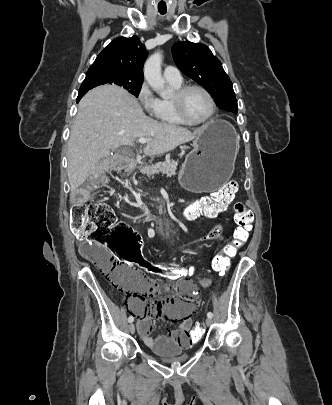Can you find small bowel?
Returning a JSON list of instances; mask_svg holds the SVG:
<instances>
[{"mask_svg": "<svg viewBox=\"0 0 332 405\" xmlns=\"http://www.w3.org/2000/svg\"><path fill=\"white\" fill-rule=\"evenodd\" d=\"M99 178V172H86L83 184L97 186ZM187 212H190L194 218L197 217V213L189 210ZM145 271L148 272V270ZM199 284L205 288L211 284V280L201 278ZM172 288L166 289V297L159 300L162 287L157 282L147 279L133 267H122L121 289L132 295L127 304L130 312L138 318L137 328L145 345L157 350L158 353H189L190 340L187 334L193 327L190 315L193 311H197L201 299L196 297L195 284L187 280L186 276L184 282H175ZM156 317H166L180 322L177 328L168 329V335L153 338L150 332L154 328Z\"/></svg>", "mask_w": 332, "mask_h": 405, "instance_id": "c3829d8e", "label": "small bowel"}]
</instances>
